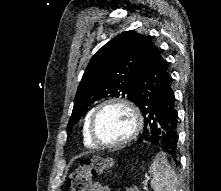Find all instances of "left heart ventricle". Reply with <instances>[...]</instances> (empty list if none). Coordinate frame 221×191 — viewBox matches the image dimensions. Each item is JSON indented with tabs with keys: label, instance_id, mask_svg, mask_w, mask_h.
Returning <instances> with one entry per match:
<instances>
[{
	"label": "left heart ventricle",
	"instance_id": "1",
	"mask_svg": "<svg viewBox=\"0 0 221 191\" xmlns=\"http://www.w3.org/2000/svg\"><path fill=\"white\" fill-rule=\"evenodd\" d=\"M133 119L121 106H109L99 113L95 130L97 137L105 143H116L131 132Z\"/></svg>",
	"mask_w": 221,
	"mask_h": 191
}]
</instances>
